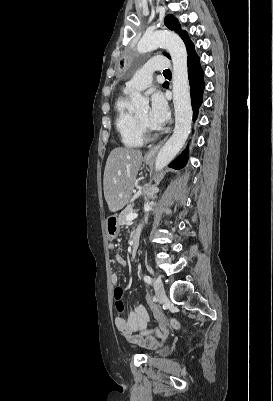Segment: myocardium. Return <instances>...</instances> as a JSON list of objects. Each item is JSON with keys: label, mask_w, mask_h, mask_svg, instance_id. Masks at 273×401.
Returning <instances> with one entry per match:
<instances>
[{"label": "myocardium", "mask_w": 273, "mask_h": 401, "mask_svg": "<svg viewBox=\"0 0 273 401\" xmlns=\"http://www.w3.org/2000/svg\"><path fill=\"white\" fill-rule=\"evenodd\" d=\"M134 117H135L136 123H137L140 131L142 132V134L145 136H148L150 133V129H149L148 125L146 123H144L142 120H140V118L136 114H134Z\"/></svg>", "instance_id": "f54148a6"}]
</instances>
